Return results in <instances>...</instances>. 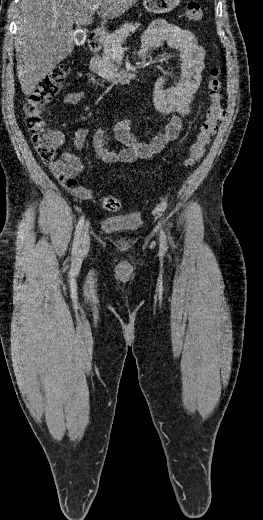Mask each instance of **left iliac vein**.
I'll list each match as a JSON object with an SVG mask.
<instances>
[{
	"mask_svg": "<svg viewBox=\"0 0 263 520\" xmlns=\"http://www.w3.org/2000/svg\"><path fill=\"white\" fill-rule=\"evenodd\" d=\"M160 242H161V244H163V245L166 244V237H165V235H164L163 232H161V234H160Z\"/></svg>",
	"mask_w": 263,
	"mask_h": 520,
	"instance_id": "4c4485c4",
	"label": "left iliac vein"
}]
</instances>
